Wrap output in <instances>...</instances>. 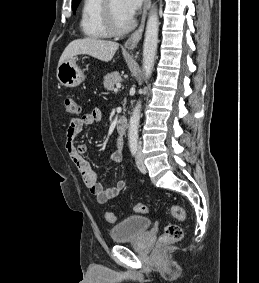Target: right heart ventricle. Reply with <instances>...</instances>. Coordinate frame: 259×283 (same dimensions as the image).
<instances>
[{"label":"right heart ventricle","mask_w":259,"mask_h":283,"mask_svg":"<svg viewBox=\"0 0 259 283\" xmlns=\"http://www.w3.org/2000/svg\"><path fill=\"white\" fill-rule=\"evenodd\" d=\"M104 0H84L81 10L80 27L83 34L91 39L111 36L105 26L102 14Z\"/></svg>","instance_id":"obj_1"}]
</instances>
